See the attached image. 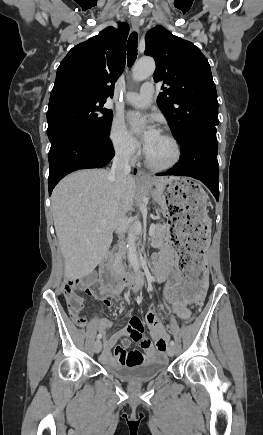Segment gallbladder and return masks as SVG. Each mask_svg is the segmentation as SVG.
<instances>
[{"instance_id":"obj_1","label":"gallbladder","mask_w":263,"mask_h":435,"mask_svg":"<svg viewBox=\"0 0 263 435\" xmlns=\"http://www.w3.org/2000/svg\"><path fill=\"white\" fill-rule=\"evenodd\" d=\"M96 278H97V273L94 272V273H91V274L87 275L84 278V280L87 283H92V282H94L96 280Z\"/></svg>"}]
</instances>
